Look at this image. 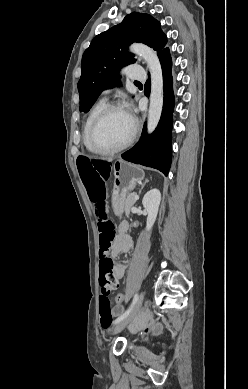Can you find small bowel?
Masks as SVG:
<instances>
[{
	"label": "small bowel",
	"instance_id": "1",
	"mask_svg": "<svg viewBox=\"0 0 248 389\" xmlns=\"http://www.w3.org/2000/svg\"><path fill=\"white\" fill-rule=\"evenodd\" d=\"M132 249H133V242L131 237L128 235V223L123 221L118 225L117 235L114 238L112 244L111 254L113 257H116L119 254L129 253L132 251ZM126 270L127 268L126 265L124 264H117L115 266V275L118 280L124 277V275L126 274ZM123 303L121 307L114 306L113 309L114 314L118 317H120L124 312ZM151 330L156 331L157 329L156 328L151 329L150 327H145V332H149Z\"/></svg>",
	"mask_w": 248,
	"mask_h": 389
}]
</instances>
